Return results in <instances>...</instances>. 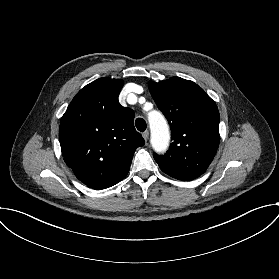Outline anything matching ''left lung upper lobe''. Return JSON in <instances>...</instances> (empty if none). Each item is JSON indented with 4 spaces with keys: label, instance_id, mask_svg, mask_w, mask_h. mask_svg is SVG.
<instances>
[{
    "label": "left lung upper lobe",
    "instance_id": "left-lung-upper-lobe-1",
    "mask_svg": "<svg viewBox=\"0 0 279 279\" xmlns=\"http://www.w3.org/2000/svg\"><path fill=\"white\" fill-rule=\"evenodd\" d=\"M158 108L166 116L173 142L165 155L154 153L169 176L190 181L203 174L219 145V112L215 102L192 81L180 77L148 83Z\"/></svg>",
    "mask_w": 279,
    "mask_h": 279
}]
</instances>
